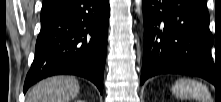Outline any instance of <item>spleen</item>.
Segmentation results:
<instances>
[{
	"label": "spleen",
	"instance_id": "3e777b00",
	"mask_svg": "<svg viewBox=\"0 0 221 102\" xmlns=\"http://www.w3.org/2000/svg\"><path fill=\"white\" fill-rule=\"evenodd\" d=\"M172 93L182 99L194 98L202 102L210 98L207 88L202 83L190 79L177 80L172 86Z\"/></svg>",
	"mask_w": 221,
	"mask_h": 102
}]
</instances>
